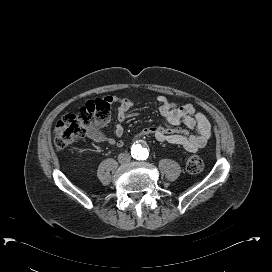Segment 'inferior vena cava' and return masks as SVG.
Returning <instances> with one entry per match:
<instances>
[{
  "label": "inferior vena cava",
  "mask_w": 272,
  "mask_h": 272,
  "mask_svg": "<svg viewBox=\"0 0 272 272\" xmlns=\"http://www.w3.org/2000/svg\"><path fill=\"white\" fill-rule=\"evenodd\" d=\"M130 159H131V157H130L129 154L120 153V154L118 155V161H119L120 163H126V162L130 161Z\"/></svg>",
  "instance_id": "602c4592"
}]
</instances>
